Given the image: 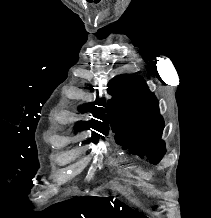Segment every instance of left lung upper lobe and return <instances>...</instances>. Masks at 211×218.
Wrapping results in <instances>:
<instances>
[{
    "label": "left lung upper lobe",
    "instance_id": "obj_1",
    "mask_svg": "<svg viewBox=\"0 0 211 218\" xmlns=\"http://www.w3.org/2000/svg\"><path fill=\"white\" fill-rule=\"evenodd\" d=\"M113 98L108 101L107 113L116 142L139 156L147 155L157 164L164 156L165 144L160 140L164 121L158 101L140 76L120 75L108 84Z\"/></svg>",
    "mask_w": 211,
    "mask_h": 218
}]
</instances>
